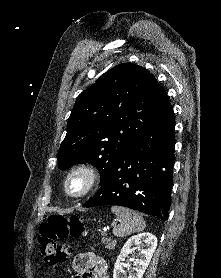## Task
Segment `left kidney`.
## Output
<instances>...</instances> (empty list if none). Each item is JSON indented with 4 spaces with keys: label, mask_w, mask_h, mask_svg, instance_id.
<instances>
[{
    "label": "left kidney",
    "mask_w": 221,
    "mask_h": 278,
    "mask_svg": "<svg viewBox=\"0 0 221 278\" xmlns=\"http://www.w3.org/2000/svg\"><path fill=\"white\" fill-rule=\"evenodd\" d=\"M143 246L141 252L139 253V259L134 261L133 273L129 274L128 278H142L146 268L149 265V262L152 258V255L157 247V238L151 233H140L138 235L132 236L123 246L120 255L118 256L114 271L113 278H122L124 256L132 253L137 246L138 248Z\"/></svg>",
    "instance_id": "obj_1"
}]
</instances>
